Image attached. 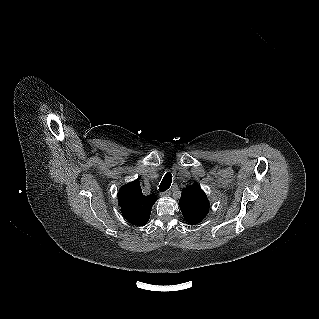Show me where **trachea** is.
I'll return each instance as SVG.
<instances>
[{
    "label": "trachea",
    "mask_w": 319,
    "mask_h": 319,
    "mask_svg": "<svg viewBox=\"0 0 319 319\" xmlns=\"http://www.w3.org/2000/svg\"><path fill=\"white\" fill-rule=\"evenodd\" d=\"M171 183H172V174L170 172H167L159 185V191L161 192L166 191L167 189H169Z\"/></svg>",
    "instance_id": "obj_1"
}]
</instances>
